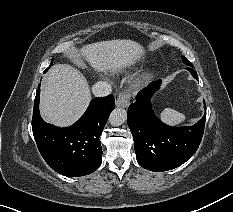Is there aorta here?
Returning <instances> with one entry per match:
<instances>
[{"mask_svg": "<svg viewBox=\"0 0 233 212\" xmlns=\"http://www.w3.org/2000/svg\"><path fill=\"white\" fill-rule=\"evenodd\" d=\"M126 118V110L122 108H116L110 114L109 123L113 126H120L126 121Z\"/></svg>", "mask_w": 233, "mask_h": 212, "instance_id": "762f6f07", "label": "aorta"}]
</instances>
